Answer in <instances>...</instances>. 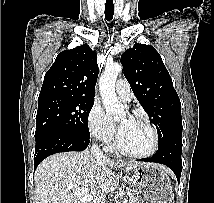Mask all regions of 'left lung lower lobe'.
Here are the masks:
<instances>
[{"label": "left lung lower lobe", "mask_w": 214, "mask_h": 203, "mask_svg": "<svg viewBox=\"0 0 214 203\" xmlns=\"http://www.w3.org/2000/svg\"><path fill=\"white\" fill-rule=\"evenodd\" d=\"M182 135L169 138L163 144L158 145V151L151 158L139 159L144 162H155L169 167L176 175L178 182L182 172Z\"/></svg>", "instance_id": "0a47b994"}]
</instances>
